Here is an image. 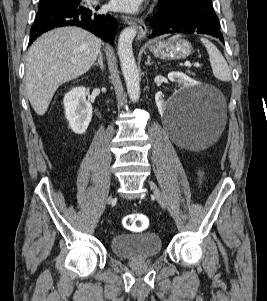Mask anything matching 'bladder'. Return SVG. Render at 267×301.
<instances>
[{
	"instance_id": "bladder-1",
	"label": "bladder",
	"mask_w": 267,
	"mask_h": 301,
	"mask_svg": "<svg viewBox=\"0 0 267 301\" xmlns=\"http://www.w3.org/2000/svg\"><path fill=\"white\" fill-rule=\"evenodd\" d=\"M112 252L124 259L150 258L162 251V240L153 232L116 234L110 240Z\"/></svg>"
}]
</instances>
